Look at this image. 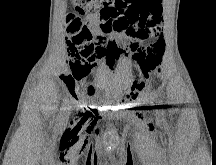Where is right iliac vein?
<instances>
[{
  "label": "right iliac vein",
  "instance_id": "1",
  "mask_svg": "<svg viewBox=\"0 0 216 165\" xmlns=\"http://www.w3.org/2000/svg\"><path fill=\"white\" fill-rule=\"evenodd\" d=\"M67 115H68V111L65 112L64 116L67 117Z\"/></svg>",
  "mask_w": 216,
  "mask_h": 165
}]
</instances>
